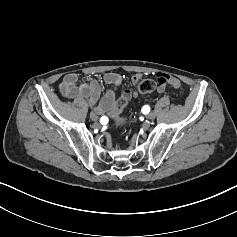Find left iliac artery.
I'll return each mask as SVG.
<instances>
[{"mask_svg": "<svg viewBox=\"0 0 237 237\" xmlns=\"http://www.w3.org/2000/svg\"><path fill=\"white\" fill-rule=\"evenodd\" d=\"M149 111H150V107L148 105L143 106V108H142L143 114H147V113H149Z\"/></svg>", "mask_w": 237, "mask_h": 237, "instance_id": "1", "label": "left iliac artery"}]
</instances>
